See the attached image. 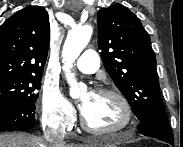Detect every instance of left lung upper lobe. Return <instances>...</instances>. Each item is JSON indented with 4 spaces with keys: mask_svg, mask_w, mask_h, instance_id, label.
<instances>
[{
    "mask_svg": "<svg viewBox=\"0 0 183 147\" xmlns=\"http://www.w3.org/2000/svg\"><path fill=\"white\" fill-rule=\"evenodd\" d=\"M98 47L107 73L122 92L136 117L167 120L155 53L139 18L121 4L97 13Z\"/></svg>",
    "mask_w": 183,
    "mask_h": 147,
    "instance_id": "left-lung-upper-lobe-1",
    "label": "left lung upper lobe"
}]
</instances>
